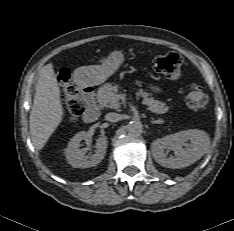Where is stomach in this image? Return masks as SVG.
Returning <instances> with one entry per match:
<instances>
[{
	"label": "stomach",
	"mask_w": 234,
	"mask_h": 231,
	"mask_svg": "<svg viewBox=\"0 0 234 231\" xmlns=\"http://www.w3.org/2000/svg\"><path fill=\"white\" fill-rule=\"evenodd\" d=\"M124 60L122 51L111 52L101 65L82 66L75 70L74 78L78 85H100L113 75Z\"/></svg>",
	"instance_id": "stomach-1"
}]
</instances>
